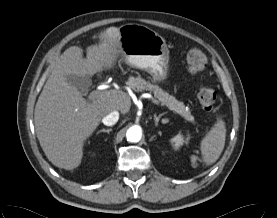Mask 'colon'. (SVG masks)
I'll return each mask as SVG.
<instances>
[{"instance_id": "colon-1", "label": "colon", "mask_w": 277, "mask_h": 218, "mask_svg": "<svg viewBox=\"0 0 277 218\" xmlns=\"http://www.w3.org/2000/svg\"><path fill=\"white\" fill-rule=\"evenodd\" d=\"M207 64V58L204 52L198 48H191L186 54V67L191 73L202 72ZM197 100L200 106L206 110L211 111L217 100L216 91L208 86L198 88L196 93Z\"/></svg>"}]
</instances>
